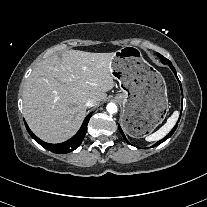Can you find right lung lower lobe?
Segmentation results:
<instances>
[{
	"mask_svg": "<svg viewBox=\"0 0 207 207\" xmlns=\"http://www.w3.org/2000/svg\"><path fill=\"white\" fill-rule=\"evenodd\" d=\"M92 113L88 114L87 117L85 118L81 128L79 131L69 140L66 142L60 143V144H48L46 142H43L40 140L37 136L33 134V132L29 129V127L26 125V129L30 136L38 142L40 145H42L44 148L48 149L51 152L54 153H59V154H66L69 153L79 147V145L82 143L83 138L86 134L87 131V124L89 122V119L91 117Z\"/></svg>",
	"mask_w": 207,
	"mask_h": 207,
	"instance_id": "obj_1",
	"label": "right lung lower lobe"
}]
</instances>
